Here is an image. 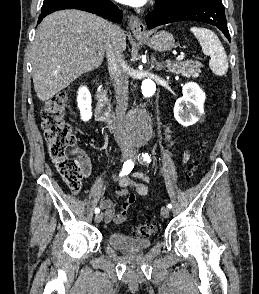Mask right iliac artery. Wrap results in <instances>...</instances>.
I'll list each match as a JSON object with an SVG mask.
<instances>
[{
    "instance_id": "obj_1",
    "label": "right iliac artery",
    "mask_w": 259,
    "mask_h": 294,
    "mask_svg": "<svg viewBox=\"0 0 259 294\" xmlns=\"http://www.w3.org/2000/svg\"><path fill=\"white\" fill-rule=\"evenodd\" d=\"M133 167H134V162L131 159L124 162L120 176L128 175L131 172V170L133 169ZM99 212H100V209L96 208L95 213L97 214Z\"/></svg>"
}]
</instances>
